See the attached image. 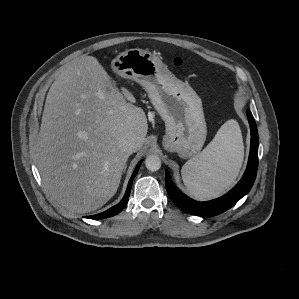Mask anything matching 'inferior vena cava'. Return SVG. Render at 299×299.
Masks as SVG:
<instances>
[{
    "label": "inferior vena cava",
    "mask_w": 299,
    "mask_h": 299,
    "mask_svg": "<svg viewBox=\"0 0 299 299\" xmlns=\"http://www.w3.org/2000/svg\"><path fill=\"white\" fill-rule=\"evenodd\" d=\"M120 149L130 155L136 150V143L134 140H124L120 143Z\"/></svg>",
    "instance_id": "602c4592"
}]
</instances>
